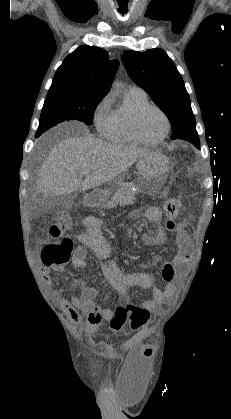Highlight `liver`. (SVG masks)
Here are the masks:
<instances>
[{
  "mask_svg": "<svg viewBox=\"0 0 231 419\" xmlns=\"http://www.w3.org/2000/svg\"><path fill=\"white\" fill-rule=\"evenodd\" d=\"M151 150L107 143L90 136L61 140L44 161L37 191L45 197L86 191L110 182ZM90 173L82 180L80 173Z\"/></svg>",
  "mask_w": 231,
  "mask_h": 419,
  "instance_id": "1",
  "label": "liver"
}]
</instances>
